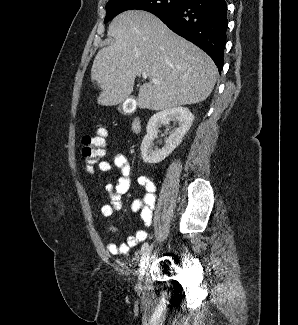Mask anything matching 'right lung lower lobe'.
<instances>
[{"label":"right lung lower lobe","mask_w":298,"mask_h":325,"mask_svg":"<svg viewBox=\"0 0 298 325\" xmlns=\"http://www.w3.org/2000/svg\"><path fill=\"white\" fill-rule=\"evenodd\" d=\"M226 14L225 0H188L177 9L155 15L172 31L204 50L221 72L228 24Z\"/></svg>","instance_id":"1"}]
</instances>
